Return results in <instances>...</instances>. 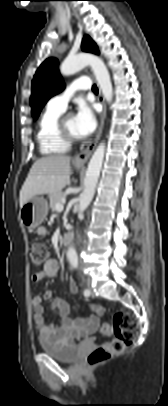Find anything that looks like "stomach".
I'll use <instances>...</instances> for the list:
<instances>
[{
	"label": "stomach",
	"mask_w": 168,
	"mask_h": 406,
	"mask_svg": "<svg viewBox=\"0 0 168 406\" xmlns=\"http://www.w3.org/2000/svg\"><path fill=\"white\" fill-rule=\"evenodd\" d=\"M80 167L79 165H76ZM48 214V203L43 197L34 196L20 209L22 224L27 228L38 227Z\"/></svg>",
	"instance_id": "stomach-1"
}]
</instances>
